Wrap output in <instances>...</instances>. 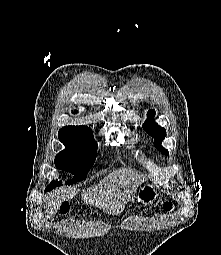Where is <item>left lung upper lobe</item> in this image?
Returning a JSON list of instances; mask_svg holds the SVG:
<instances>
[{
    "mask_svg": "<svg viewBox=\"0 0 221 255\" xmlns=\"http://www.w3.org/2000/svg\"><path fill=\"white\" fill-rule=\"evenodd\" d=\"M147 115L148 120L143 124V128L149 135H151L154 138L155 146L158 148V150L164 153L165 155H169L168 150L161 146V142L166 136L165 129L158 126V124L155 123V121L153 120V117L155 115L154 111L149 110Z\"/></svg>",
    "mask_w": 221,
    "mask_h": 255,
    "instance_id": "1",
    "label": "left lung upper lobe"
}]
</instances>
